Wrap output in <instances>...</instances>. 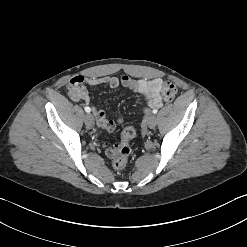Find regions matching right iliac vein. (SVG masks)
I'll return each mask as SVG.
<instances>
[{
    "label": "right iliac vein",
    "mask_w": 247,
    "mask_h": 247,
    "mask_svg": "<svg viewBox=\"0 0 247 247\" xmlns=\"http://www.w3.org/2000/svg\"><path fill=\"white\" fill-rule=\"evenodd\" d=\"M85 124L88 127H92L94 125V117L92 114L88 113L85 115Z\"/></svg>",
    "instance_id": "right-iliac-vein-1"
}]
</instances>
